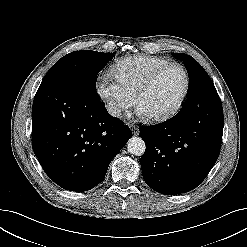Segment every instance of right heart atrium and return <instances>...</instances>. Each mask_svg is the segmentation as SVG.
<instances>
[{
	"mask_svg": "<svg viewBox=\"0 0 247 247\" xmlns=\"http://www.w3.org/2000/svg\"><path fill=\"white\" fill-rule=\"evenodd\" d=\"M96 91L108 113L114 117H120L133 104L132 96L110 74L99 77Z\"/></svg>",
	"mask_w": 247,
	"mask_h": 247,
	"instance_id": "d8ad5b80",
	"label": "right heart atrium"
}]
</instances>
